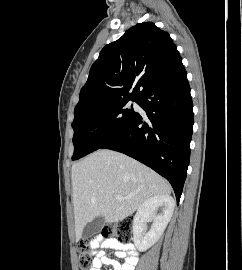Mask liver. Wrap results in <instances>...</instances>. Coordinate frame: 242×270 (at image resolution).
I'll list each match as a JSON object with an SVG mask.
<instances>
[{"mask_svg": "<svg viewBox=\"0 0 242 270\" xmlns=\"http://www.w3.org/2000/svg\"><path fill=\"white\" fill-rule=\"evenodd\" d=\"M71 176L77 242L96 217L103 216L106 223L122 221L148 198L171 193L169 183L156 172L112 150L95 151L73 164Z\"/></svg>", "mask_w": 242, "mask_h": 270, "instance_id": "obj_1", "label": "liver"}]
</instances>
